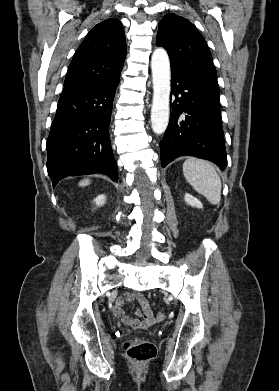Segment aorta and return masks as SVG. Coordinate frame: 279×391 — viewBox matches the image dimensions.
I'll use <instances>...</instances> for the list:
<instances>
[{
	"instance_id": "1",
	"label": "aorta",
	"mask_w": 279,
	"mask_h": 391,
	"mask_svg": "<svg viewBox=\"0 0 279 391\" xmlns=\"http://www.w3.org/2000/svg\"><path fill=\"white\" fill-rule=\"evenodd\" d=\"M151 69L153 78V101L151 108V126L153 132H165L170 114V61L163 48H157L152 54Z\"/></svg>"
}]
</instances>
